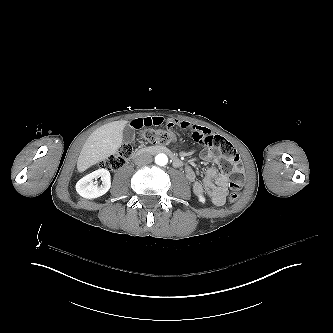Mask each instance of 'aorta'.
<instances>
[{"instance_id":"1","label":"aorta","mask_w":333,"mask_h":333,"mask_svg":"<svg viewBox=\"0 0 333 333\" xmlns=\"http://www.w3.org/2000/svg\"><path fill=\"white\" fill-rule=\"evenodd\" d=\"M155 163L159 166H164L168 163V157L164 153H160L155 157Z\"/></svg>"}]
</instances>
